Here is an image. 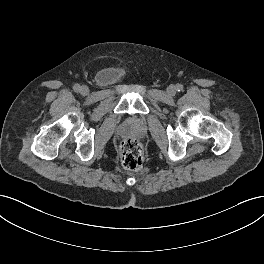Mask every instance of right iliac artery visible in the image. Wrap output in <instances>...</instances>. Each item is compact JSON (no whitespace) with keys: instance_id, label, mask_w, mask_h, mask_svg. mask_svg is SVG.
Returning <instances> with one entry per match:
<instances>
[{"instance_id":"82829eb1","label":"right iliac artery","mask_w":264,"mask_h":264,"mask_svg":"<svg viewBox=\"0 0 264 264\" xmlns=\"http://www.w3.org/2000/svg\"><path fill=\"white\" fill-rule=\"evenodd\" d=\"M80 88H81V87H80L79 84H75L74 87H73V89H74L75 92L80 91Z\"/></svg>"}]
</instances>
